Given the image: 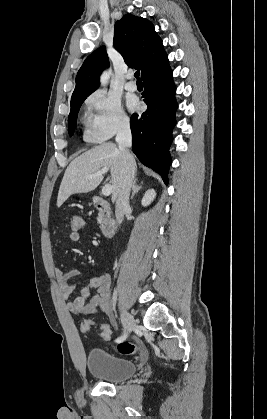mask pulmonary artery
Returning a JSON list of instances; mask_svg holds the SVG:
<instances>
[{
	"label": "pulmonary artery",
	"instance_id": "e3ab8cb5",
	"mask_svg": "<svg viewBox=\"0 0 267 419\" xmlns=\"http://www.w3.org/2000/svg\"><path fill=\"white\" fill-rule=\"evenodd\" d=\"M132 78H133V73H128L127 74V79H128V81L126 82V84H125V88L128 90V91H135L136 89H137V85H136V83L132 80Z\"/></svg>",
	"mask_w": 267,
	"mask_h": 419
}]
</instances>
